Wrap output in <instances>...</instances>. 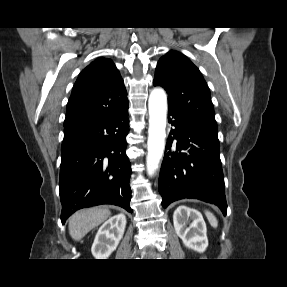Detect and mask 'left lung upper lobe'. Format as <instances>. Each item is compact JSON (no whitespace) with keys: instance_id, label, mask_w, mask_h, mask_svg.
Here are the masks:
<instances>
[{"instance_id":"1","label":"left lung upper lobe","mask_w":287,"mask_h":287,"mask_svg":"<svg viewBox=\"0 0 287 287\" xmlns=\"http://www.w3.org/2000/svg\"><path fill=\"white\" fill-rule=\"evenodd\" d=\"M153 85L166 90L169 108L218 137L209 87L199 69L185 55L171 50L161 57Z\"/></svg>"}]
</instances>
